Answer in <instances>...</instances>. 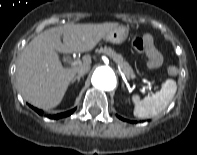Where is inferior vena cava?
I'll list each match as a JSON object with an SVG mask.
<instances>
[{"mask_svg": "<svg viewBox=\"0 0 197 155\" xmlns=\"http://www.w3.org/2000/svg\"><path fill=\"white\" fill-rule=\"evenodd\" d=\"M89 67H81L78 69L77 74L78 75H84L85 73H87L89 71Z\"/></svg>", "mask_w": 197, "mask_h": 155, "instance_id": "inferior-vena-cava-1", "label": "inferior vena cava"}]
</instances>
